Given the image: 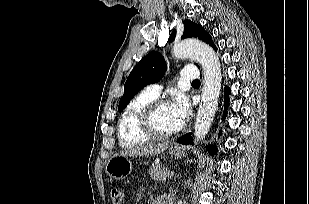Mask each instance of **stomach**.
Listing matches in <instances>:
<instances>
[{
  "label": "stomach",
  "instance_id": "obj_1",
  "mask_svg": "<svg viewBox=\"0 0 309 204\" xmlns=\"http://www.w3.org/2000/svg\"><path fill=\"white\" fill-rule=\"evenodd\" d=\"M187 153L185 146L173 145L169 148V154L174 158H183ZM133 169L132 159L129 156L117 154L112 156L106 164V173L113 179L126 178Z\"/></svg>",
  "mask_w": 309,
  "mask_h": 204
}]
</instances>
